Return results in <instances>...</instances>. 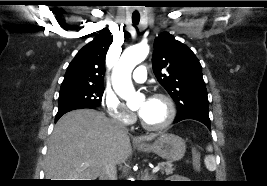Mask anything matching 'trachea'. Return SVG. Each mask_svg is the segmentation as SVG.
<instances>
[{"instance_id":"1","label":"trachea","mask_w":267,"mask_h":186,"mask_svg":"<svg viewBox=\"0 0 267 186\" xmlns=\"http://www.w3.org/2000/svg\"><path fill=\"white\" fill-rule=\"evenodd\" d=\"M140 21V17L139 16H133L132 17V22L134 25L138 24Z\"/></svg>"}]
</instances>
